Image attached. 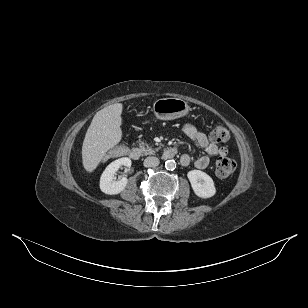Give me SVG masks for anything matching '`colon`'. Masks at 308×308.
<instances>
[{
    "instance_id": "colon-1",
    "label": "colon",
    "mask_w": 308,
    "mask_h": 308,
    "mask_svg": "<svg viewBox=\"0 0 308 308\" xmlns=\"http://www.w3.org/2000/svg\"><path fill=\"white\" fill-rule=\"evenodd\" d=\"M210 137L214 142L224 143L229 139V131L222 124H216L211 131ZM130 150V146L125 143L120 146H114L111 152L105 154L104 161H109L111 157L121 158L123 155H128ZM235 168L236 164L232 159L219 157L216 163L215 173L220 179H226L231 176Z\"/></svg>"
}]
</instances>
